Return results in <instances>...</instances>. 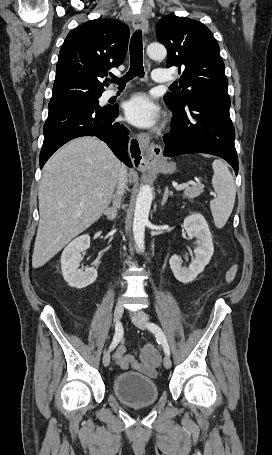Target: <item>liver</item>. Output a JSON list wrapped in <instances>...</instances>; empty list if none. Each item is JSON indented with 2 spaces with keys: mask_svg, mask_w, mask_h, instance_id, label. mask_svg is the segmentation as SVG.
Returning <instances> with one entry per match:
<instances>
[{
  "mask_svg": "<svg viewBox=\"0 0 272 455\" xmlns=\"http://www.w3.org/2000/svg\"><path fill=\"white\" fill-rule=\"evenodd\" d=\"M121 166L108 146L94 137L67 143L47 161L38 192L40 220L33 268L46 264L101 217Z\"/></svg>",
  "mask_w": 272,
  "mask_h": 455,
  "instance_id": "liver-1",
  "label": "liver"
}]
</instances>
